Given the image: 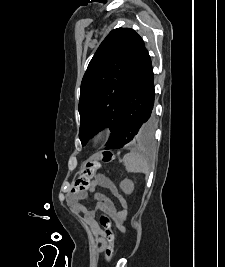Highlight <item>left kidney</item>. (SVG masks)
Segmentation results:
<instances>
[{
	"label": "left kidney",
	"instance_id": "obj_1",
	"mask_svg": "<svg viewBox=\"0 0 225 267\" xmlns=\"http://www.w3.org/2000/svg\"><path fill=\"white\" fill-rule=\"evenodd\" d=\"M120 188L123 190L125 194H131L134 190V183L129 179H124L120 183Z\"/></svg>",
	"mask_w": 225,
	"mask_h": 267
}]
</instances>
